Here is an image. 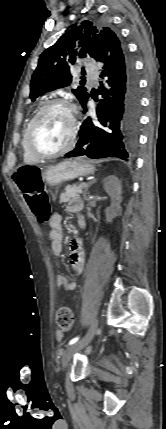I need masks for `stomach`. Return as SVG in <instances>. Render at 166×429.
I'll return each instance as SVG.
<instances>
[{
	"mask_svg": "<svg viewBox=\"0 0 166 429\" xmlns=\"http://www.w3.org/2000/svg\"><path fill=\"white\" fill-rule=\"evenodd\" d=\"M95 171V167L83 159L65 160L57 165L48 166L42 170V180L48 186L54 187L65 181L80 176H87Z\"/></svg>",
	"mask_w": 166,
	"mask_h": 429,
	"instance_id": "0dacf381",
	"label": "stomach"
}]
</instances>
